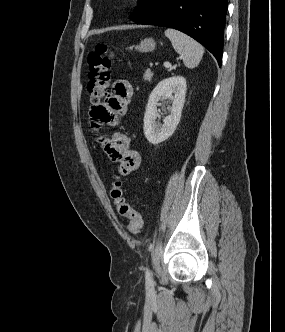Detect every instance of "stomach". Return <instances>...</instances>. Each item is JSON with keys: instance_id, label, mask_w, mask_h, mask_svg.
I'll use <instances>...</instances> for the list:
<instances>
[{"instance_id": "obj_1", "label": "stomach", "mask_w": 285, "mask_h": 332, "mask_svg": "<svg viewBox=\"0 0 285 332\" xmlns=\"http://www.w3.org/2000/svg\"><path fill=\"white\" fill-rule=\"evenodd\" d=\"M156 48V42L153 38H145L136 46V50L140 52H151Z\"/></svg>"}]
</instances>
